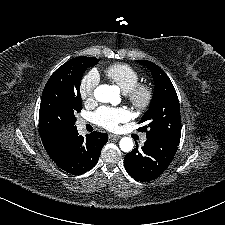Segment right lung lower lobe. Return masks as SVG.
<instances>
[{
	"mask_svg": "<svg viewBox=\"0 0 225 225\" xmlns=\"http://www.w3.org/2000/svg\"><path fill=\"white\" fill-rule=\"evenodd\" d=\"M107 141L106 133L94 131L83 137L76 130L67 138L60 153L51 159L67 173L83 174L96 165L101 150Z\"/></svg>",
	"mask_w": 225,
	"mask_h": 225,
	"instance_id": "right-lung-lower-lobe-1",
	"label": "right lung lower lobe"
}]
</instances>
